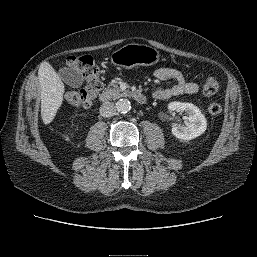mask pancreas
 I'll return each instance as SVG.
<instances>
[{
	"instance_id": "obj_1",
	"label": "pancreas",
	"mask_w": 257,
	"mask_h": 257,
	"mask_svg": "<svg viewBox=\"0 0 257 257\" xmlns=\"http://www.w3.org/2000/svg\"><path fill=\"white\" fill-rule=\"evenodd\" d=\"M104 95L108 98H119L125 95L124 92L114 83H110L104 92Z\"/></svg>"
}]
</instances>
